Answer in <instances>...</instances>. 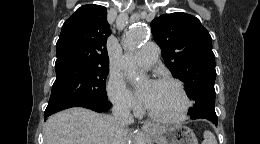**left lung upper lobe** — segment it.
<instances>
[{
	"label": "left lung upper lobe",
	"instance_id": "obj_1",
	"mask_svg": "<svg viewBox=\"0 0 260 144\" xmlns=\"http://www.w3.org/2000/svg\"><path fill=\"white\" fill-rule=\"evenodd\" d=\"M151 29L166 66L185 82L187 95L195 101L191 118L216 115L215 56L211 36L199 19L182 12L164 14L151 22Z\"/></svg>",
	"mask_w": 260,
	"mask_h": 144
}]
</instances>
